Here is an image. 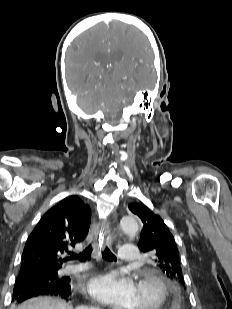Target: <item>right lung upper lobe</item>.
Here are the masks:
<instances>
[{
  "mask_svg": "<svg viewBox=\"0 0 232 309\" xmlns=\"http://www.w3.org/2000/svg\"><path fill=\"white\" fill-rule=\"evenodd\" d=\"M90 207L78 196H69L48 210L29 235L22 254V265L29 264L36 274L58 270L69 258L70 247L88 234Z\"/></svg>",
  "mask_w": 232,
  "mask_h": 309,
  "instance_id": "1",
  "label": "right lung upper lobe"
}]
</instances>
